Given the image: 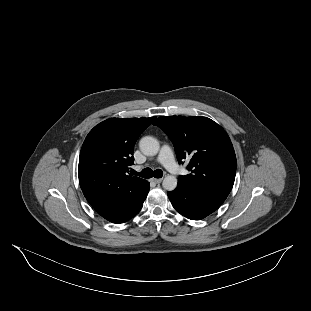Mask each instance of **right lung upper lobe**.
<instances>
[{"label":"right lung upper lobe","mask_w":311,"mask_h":311,"mask_svg":"<svg viewBox=\"0 0 311 311\" xmlns=\"http://www.w3.org/2000/svg\"><path fill=\"white\" fill-rule=\"evenodd\" d=\"M151 118H110L87 135L79 157L81 189L91 206L105 219L123 217L144 193L148 182L128 175L133 149Z\"/></svg>","instance_id":"right-lung-upper-lobe-1"}]
</instances>
